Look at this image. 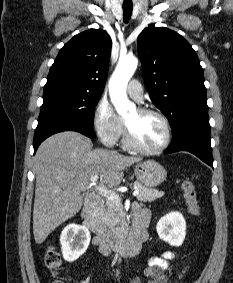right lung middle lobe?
<instances>
[{"mask_svg": "<svg viewBox=\"0 0 233 283\" xmlns=\"http://www.w3.org/2000/svg\"><path fill=\"white\" fill-rule=\"evenodd\" d=\"M101 95L65 85H45L38 124L63 119L93 127L95 106Z\"/></svg>", "mask_w": 233, "mask_h": 283, "instance_id": "dd1d6c3e", "label": "right lung middle lobe"}]
</instances>
